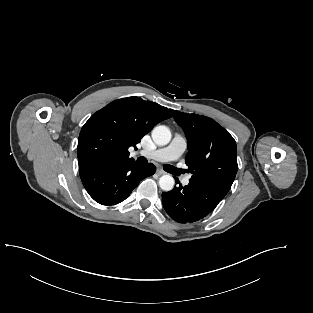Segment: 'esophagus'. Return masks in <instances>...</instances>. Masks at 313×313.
I'll use <instances>...</instances> for the list:
<instances>
[{
  "label": "esophagus",
  "mask_w": 313,
  "mask_h": 313,
  "mask_svg": "<svg viewBox=\"0 0 313 313\" xmlns=\"http://www.w3.org/2000/svg\"><path fill=\"white\" fill-rule=\"evenodd\" d=\"M156 173H157L159 176L166 174V172H165L164 170L159 169V168L157 169Z\"/></svg>",
  "instance_id": "34e87169"
}]
</instances>
